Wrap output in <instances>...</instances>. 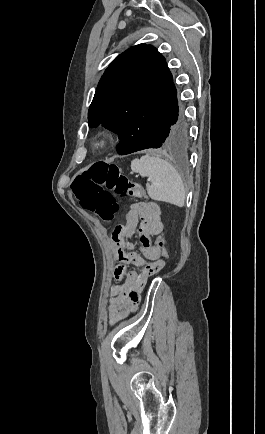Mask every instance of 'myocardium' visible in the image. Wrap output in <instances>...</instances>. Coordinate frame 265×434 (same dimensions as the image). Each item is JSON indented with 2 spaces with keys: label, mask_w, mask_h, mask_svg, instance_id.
Returning a JSON list of instances; mask_svg holds the SVG:
<instances>
[{
  "label": "myocardium",
  "mask_w": 265,
  "mask_h": 434,
  "mask_svg": "<svg viewBox=\"0 0 265 434\" xmlns=\"http://www.w3.org/2000/svg\"><path fill=\"white\" fill-rule=\"evenodd\" d=\"M110 137L105 134L97 135L92 137L88 143L87 147L89 151L93 154H101L105 152L110 146Z\"/></svg>",
  "instance_id": "1"
}]
</instances>
